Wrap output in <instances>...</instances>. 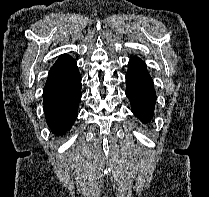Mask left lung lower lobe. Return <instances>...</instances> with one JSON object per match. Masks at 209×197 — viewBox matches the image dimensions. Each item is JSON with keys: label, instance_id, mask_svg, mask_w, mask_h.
Returning <instances> with one entry per match:
<instances>
[{"label": "left lung lower lobe", "instance_id": "1", "mask_svg": "<svg viewBox=\"0 0 209 197\" xmlns=\"http://www.w3.org/2000/svg\"><path fill=\"white\" fill-rule=\"evenodd\" d=\"M126 84V96L132 105V112L142 123H146L153 116L156 93L146 64L138 57L129 61Z\"/></svg>", "mask_w": 209, "mask_h": 197}]
</instances>
